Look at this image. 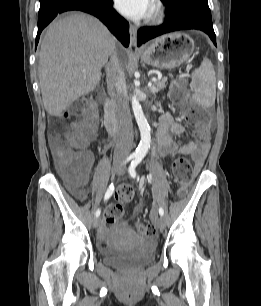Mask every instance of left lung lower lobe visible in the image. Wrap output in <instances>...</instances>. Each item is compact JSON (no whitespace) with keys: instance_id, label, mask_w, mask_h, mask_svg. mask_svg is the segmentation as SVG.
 I'll return each mask as SVG.
<instances>
[{"instance_id":"0a47b994","label":"left lung lower lobe","mask_w":261,"mask_h":306,"mask_svg":"<svg viewBox=\"0 0 261 306\" xmlns=\"http://www.w3.org/2000/svg\"><path fill=\"white\" fill-rule=\"evenodd\" d=\"M165 4L169 8L165 23L158 27L140 28L137 34L138 46L162 34L186 29L205 32L216 45L208 0H172Z\"/></svg>"}]
</instances>
